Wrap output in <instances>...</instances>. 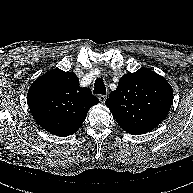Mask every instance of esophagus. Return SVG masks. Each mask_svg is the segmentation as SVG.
<instances>
[{
    "label": "esophagus",
    "mask_w": 193,
    "mask_h": 193,
    "mask_svg": "<svg viewBox=\"0 0 193 193\" xmlns=\"http://www.w3.org/2000/svg\"><path fill=\"white\" fill-rule=\"evenodd\" d=\"M98 99H99V101H100L101 103H104V102L106 101V99H107V96H106V95H99V96H98Z\"/></svg>",
    "instance_id": "1"
}]
</instances>
